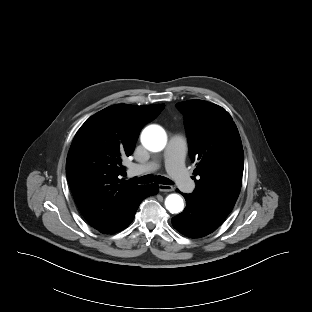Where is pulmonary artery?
Here are the masks:
<instances>
[{
    "label": "pulmonary artery",
    "instance_id": "pulmonary-artery-1",
    "mask_svg": "<svg viewBox=\"0 0 312 312\" xmlns=\"http://www.w3.org/2000/svg\"><path fill=\"white\" fill-rule=\"evenodd\" d=\"M186 141L182 136H172L163 152L166 169L177 186L184 192H189L193 188V181L189 177L184 166V155L186 153ZM158 167V163L151 162L146 165L136 166L139 172H147Z\"/></svg>",
    "mask_w": 312,
    "mask_h": 312
}]
</instances>
